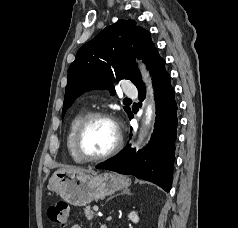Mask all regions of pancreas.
I'll return each mask as SVG.
<instances>
[{"label":"pancreas","mask_w":238,"mask_h":228,"mask_svg":"<svg viewBox=\"0 0 238 228\" xmlns=\"http://www.w3.org/2000/svg\"><path fill=\"white\" fill-rule=\"evenodd\" d=\"M84 213H85V217L88 219V220H92L94 217H95V212L91 210L90 206H87L85 209H84Z\"/></svg>","instance_id":"1"}]
</instances>
